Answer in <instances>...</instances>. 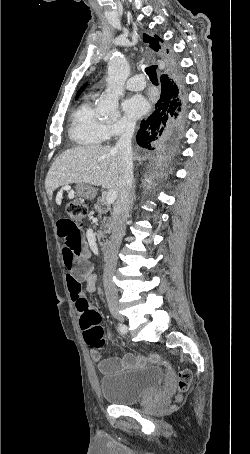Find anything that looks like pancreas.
<instances>
[{"instance_id":"obj_1","label":"pancreas","mask_w":250,"mask_h":454,"mask_svg":"<svg viewBox=\"0 0 250 454\" xmlns=\"http://www.w3.org/2000/svg\"><path fill=\"white\" fill-rule=\"evenodd\" d=\"M95 211L99 215L106 214L111 210L110 205L106 203L105 199H98L95 206ZM102 231H99L97 236L99 239H107V236L111 233V219L109 217H103L101 221Z\"/></svg>"}]
</instances>
